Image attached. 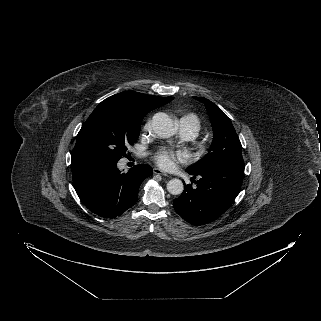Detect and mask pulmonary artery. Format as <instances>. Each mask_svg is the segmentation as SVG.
<instances>
[{
	"label": "pulmonary artery",
	"instance_id": "1",
	"mask_svg": "<svg viewBox=\"0 0 321 321\" xmlns=\"http://www.w3.org/2000/svg\"><path fill=\"white\" fill-rule=\"evenodd\" d=\"M180 126H181L182 136L185 139H192L195 137L197 130L193 126H191L183 121L180 122Z\"/></svg>",
	"mask_w": 321,
	"mask_h": 321
}]
</instances>
